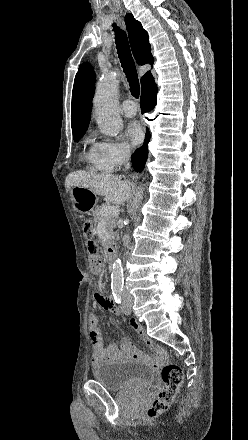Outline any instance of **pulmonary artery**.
I'll return each mask as SVG.
<instances>
[{"instance_id":"1","label":"pulmonary artery","mask_w":248,"mask_h":440,"mask_svg":"<svg viewBox=\"0 0 248 440\" xmlns=\"http://www.w3.org/2000/svg\"><path fill=\"white\" fill-rule=\"evenodd\" d=\"M121 112L126 117H132L137 112V106L132 100H130V99L125 100L122 103Z\"/></svg>"}]
</instances>
